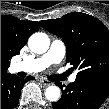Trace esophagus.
Instances as JSON below:
<instances>
[{
  "label": "esophagus",
  "mask_w": 109,
  "mask_h": 109,
  "mask_svg": "<svg viewBox=\"0 0 109 109\" xmlns=\"http://www.w3.org/2000/svg\"><path fill=\"white\" fill-rule=\"evenodd\" d=\"M40 82L44 85V86H50L51 85V82L46 80V79H40Z\"/></svg>",
  "instance_id": "esophagus-1"
}]
</instances>
